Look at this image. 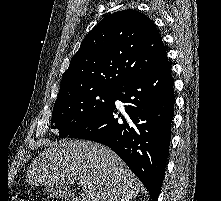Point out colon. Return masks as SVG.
<instances>
[{"instance_id": "colon-1", "label": "colon", "mask_w": 221, "mask_h": 201, "mask_svg": "<svg viewBox=\"0 0 221 201\" xmlns=\"http://www.w3.org/2000/svg\"><path fill=\"white\" fill-rule=\"evenodd\" d=\"M12 201H25V199L22 196H16L12 198Z\"/></svg>"}]
</instances>
